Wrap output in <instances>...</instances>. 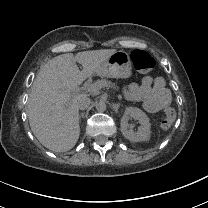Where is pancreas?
<instances>
[{
    "label": "pancreas",
    "instance_id": "cf45deb5",
    "mask_svg": "<svg viewBox=\"0 0 208 208\" xmlns=\"http://www.w3.org/2000/svg\"><path fill=\"white\" fill-rule=\"evenodd\" d=\"M102 87H105V88H113V89H117V90H120L118 85L111 82V81H107V80H103V81H100Z\"/></svg>",
    "mask_w": 208,
    "mask_h": 208
}]
</instances>
